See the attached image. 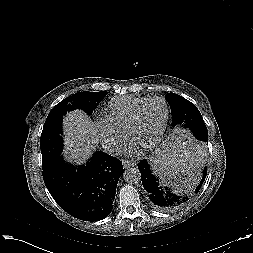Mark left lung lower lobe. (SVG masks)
<instances>
[{
    "label": "left lung lower lobe",
    "instance_id": "left-lung-lower-lobe-1",
    "mask_svg": "<svg viewBox=\"0 0 253 253\" xmlns=\"http://www.w3.org/2000/svg\"><path fill=\"white\" fill-rule=\"evenodd\" d=\"M191 150L193 151L195 157L201 158L204 163L203 151H201L198 145L194 144V147ZM151 165L152 164L144 159L139 163L138 169L141 174L143 187L147 191L149 202L158 210H172L186 203L190 197L189 195H193L200 190L207 175V167H204L200 178L195 177V180H197L198 183H195L189 193L186 192L183 194L172 191L170 188L164 186L158 177L153 174Z\"/></svg>",
    "mask_w": 253,
    "mask_h": 253
}]
</instances>
